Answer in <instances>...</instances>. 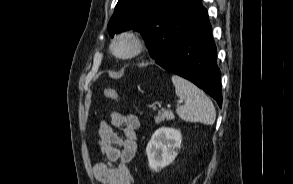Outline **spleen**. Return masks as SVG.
<instances>
[{
  "label": "spleen",
  "instance_id": "spleen-1",
  "mask_svg": "<svg viewBox=\"0 0 293 184\" xmlns=\"http://www.w3.org/2000/svg\"><path fill=\"white\" fill-rule=\"evenodd\" d=\"M177 97L185 102L176 109L177 115L187 122H201L212 125L216 119V111L207 95L190 81L178 76H172Z\"/></svg>",
  "mask_w": 293,
  "mask_h": 184
}]
</instances>
